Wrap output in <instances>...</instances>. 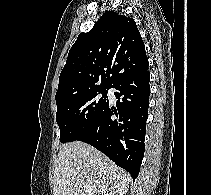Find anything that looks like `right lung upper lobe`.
<instances>
[{
	"instance_id": "cb5924a9",
	"label": "right lung upper lobe",
	"mask_w": 211,
	"mask_h": 195,
	"mask_svg": "<svg viewBox=\"0 0 211 195\" xmlns=\"http://www.w3.org/2000/svg\"><path fill=\"white\" fill-rule=\"evenodd\" d=\"M147 66L145 45L134 19L107 11L71 47L59 77L56 104L109 89L123 76Z\"/></svg>"
}]
</instances>
